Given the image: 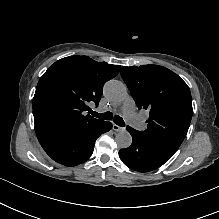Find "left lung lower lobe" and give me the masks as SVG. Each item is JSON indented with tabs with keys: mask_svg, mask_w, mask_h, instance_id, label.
<instances>
[{
	"mask_svg": "<svg viewBox=\"0 0 219 219\" xmlns=\"http://www.w3.org/2000/svg\"><path fill=\"white\" fill-rule=\"evenodd\" d=\"M132 135V144L128 148L119 151L122 162L138 172H149L155 170L166 163L173 154L163 148L147 141L137 130L127 127Z\"/></svg>",
	"mask_w": 219,
	"mask_h": 219,
	"instance_id": "1",
	"label": "left lung lower lobe"
}]
</instances>
